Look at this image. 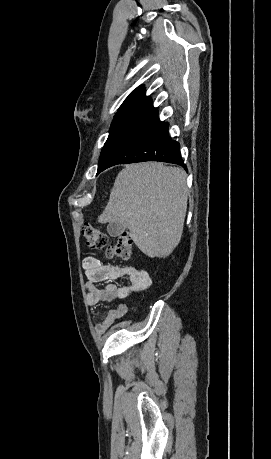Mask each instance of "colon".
<instances>
[{
  "label": "colon",
  "mask_w": 271,
  "mask_h": 459,
  "mask_svg": "<svg viewBox=\"0 0 271 459\" xmlns=\"http://www.w3.org/2000/svg\"><path fill=\"white\" fill-rule=\"evenodd\" d=\"M82 234L88 248L101 251L108 258L130 260L133 256L132 240L128 233L119 235L113 243L109 242L108 236L101 229L91 225H85Z\"/></svg>",
  "instance_id": "obj_1"
}]
</instances>
